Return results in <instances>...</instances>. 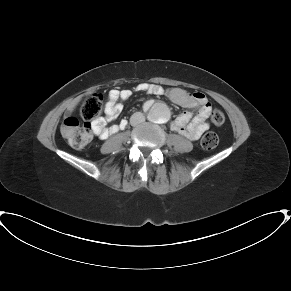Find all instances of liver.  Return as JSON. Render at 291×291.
Wrapping results in <instances>:
<instances>
[{
	"mask_svg": "<svg viewBox=\"0 0 291 291\" xmlns=\"http://www.w3.org/2000/svg\"><path fill=\"white\" fill-rule=\"evenodd\" d=\"M81 97H77L76 99H74L69 105H68V111L72 112L75 107L78 105V103L80 102Z\"/></svg>",
	"mask_w": 291,
	"mask_h": 291,
	"instance_id": "1",
	"label": "liver"
}]
</instances>
